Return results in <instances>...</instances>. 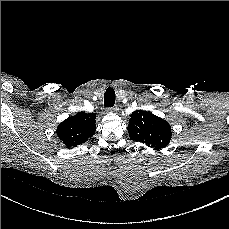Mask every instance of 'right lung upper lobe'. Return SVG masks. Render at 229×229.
Segmentation results:
<instances>
[{"label": "right lung upper lobe", "mask_w": 229, "mask_h": 229, "mask_svg": "<svg viewBox=\"0 0 229 229\" xmlns=\"http://www.w3.org/2000/svg\"><path fill=\"white\" fill-rule=\"evenodd\" d=\"M95 119V113L79 112L60 123L56 133L65 146H77L95 134Z\"/></svg>", "instance_id": "right-lung-upper-lobe-1"}]
</instances>
